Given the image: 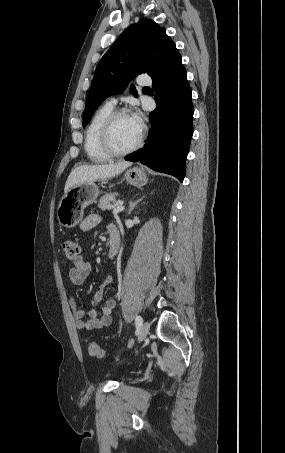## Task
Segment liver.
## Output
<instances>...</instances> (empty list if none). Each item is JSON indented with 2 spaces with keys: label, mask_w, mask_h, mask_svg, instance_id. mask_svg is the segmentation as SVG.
<instances>
[{
  "label": "liver",
  "mask_w": 285,
  "mask_h": 453,
  "mask_svg": "<svg viewBox=\"0 0 285 453\" xmlns=\"http://www.w3.org/2000/svg\"><path fill=\"white\" fill-rule=\"evenodd\" d=\"M131 165V162L124 161L115 164L82 165L76 167L71 171L67 178L64 192L66 193L75 185L103 181L107 178L115 177Z\"/></svg>",
  "instance_id": "6515ba94"
}]
</instances>
